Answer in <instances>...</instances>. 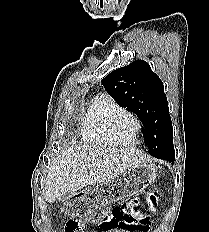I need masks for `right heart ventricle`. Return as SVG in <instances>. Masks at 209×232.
Returning <instances> with one entry per match:
<instances>
[{
    "mask_svg": "<svg viewBox=\"0 0 209 232\" xmlns=\"http://www.w3.org/2000/svg\"><path fill=\"white\" fill-rule=\"evenodd\" d=\"M119 106L106 94L94 98L82 121V136L92 146L108 148L113 146L106 132L107 122L111 114L119 110ZM135 141L132 142V145Z\"/></svg>",
    "mask_w": 209,
    "mask_h": 232,
    "instance_id": "1",
    "label": "right heart ventricle"
}]
</instances>
